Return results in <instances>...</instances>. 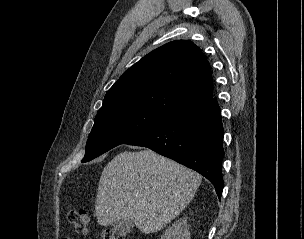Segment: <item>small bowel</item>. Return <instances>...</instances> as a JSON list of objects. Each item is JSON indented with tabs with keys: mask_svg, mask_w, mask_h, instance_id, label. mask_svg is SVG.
I'll return each instance as SVG.
<instances>
[{
	"mask_svg": "<svg viewBox=\"0 0 304 239\" xmlns=\"http://www.w3.org/2000/svg\"><path fill=\"white\" fill-rule=\"evenodd\" d=\"M64 239H73V238H71V237H65Z\"/></svg>",
	"mask_w": 304,
	"mask_h": 239,
	"instance_id": "1",
	"label": "small bowel"
}]
</instances>
